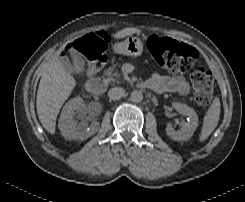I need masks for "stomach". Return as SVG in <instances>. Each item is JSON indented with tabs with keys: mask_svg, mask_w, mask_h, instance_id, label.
I'll list each match as a JSON object with an SVG mask.
<instances>
[{
	"mask_svg": "<svg viewBox=\"0 0 245 202\" xmlns=\"http://www.w3.org/2000/svg\"><path fill=\"white\" fill-rule=\"evenodd\" d=\"M116 53L137 57L143 52V43L138 37H128L124 41L113 46Z\"/></svg>",
	"mask_w": 245,
	"mask_h": 202,
	"instance_id": "obj_1",
	"label": "stomach"
}]
</instances>
